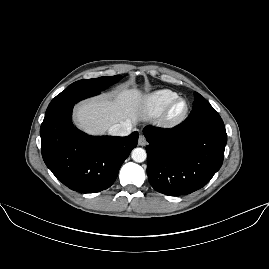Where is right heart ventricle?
<instances>
[{"label":"right heart ventricle","instance_id":"right-heart-ventricle-1","mask_svg":"<svg viewBox=\"0 0 269 269\" xmlns=\"http://www.w3.org/2000/svg\"><path fill=\"white\" fill-rule=\"evenodd\" d=\"M178 98V94L168 90L161 89L150 93L145 98L147 110L153 115H160L166 111L170 103Z\"/></svg>","mask_w":269,"mask_h":269}]
</instances>
